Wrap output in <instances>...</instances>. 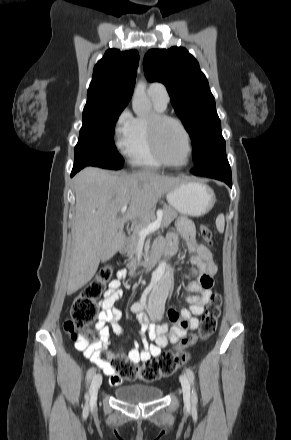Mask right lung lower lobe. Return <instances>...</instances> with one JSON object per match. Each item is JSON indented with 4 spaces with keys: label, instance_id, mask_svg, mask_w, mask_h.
I'll return each mask as SVG.
<instances>
[{
    "label": "right lung lower lobe",
    "instance_id": "right-lung-lower-lobe-1",
    "mask_svg": "<svg viewBox=\"0 0 291 440\" xmlns=\"http://www.w3.org/2000/svg\"><path fill=\"white\" fill-rule=\"evenodd\" d=\"M82 168L84 167H76L74 166L71 172V176H73L75 173H77L78 171H80Z\"/></svg>",
    "mask_w": 291,
    "mask_h": 440
}]
</instances>
